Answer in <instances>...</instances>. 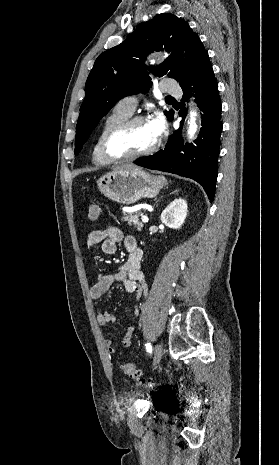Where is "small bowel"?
<instances>
[{
  "label": "small bowel",
  "instance_id": "c3829d8e",
  "mask_svg": "<svg viewBox=\"0 0 279 465\" xmlns=\"http://www.w3.org/2000/svg\"><path fill=\"white\" fill-rule=\"evenodd\" d=\"M123 242L128 252V259L118 266L112 274H100L96 282L90 288L92 299L101 298L115 282H121L128 293H139L145 288L144 274L141 271L142 250L134 237L125 235L118 227L107 225L102 229L94 230L88 234L87 247L94 248L101 244V249L105 254L112 255L117 251V245ZM115 321L114 314L109 311L98 313L97 322L105 326ZM135 328L129 325L121 339V345L129 348L132 345V338ZM105 346L110 354L116 352L110 339H105Z\"/></svg>",
  "mask_w": 279,
  "mask_h": 465
}]
</instances>
